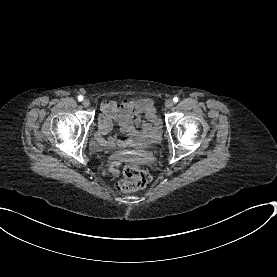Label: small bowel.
<instances>
[{
    "label": "small bowel",
    "mask_w": 277,
    "mask_h": 277,
    "mask_svg": "<svg viewBox=\"0 0 277 277\" xmlns=\"http://www.w3.org/2000/svg\"><path fill=\"white\" fill-rule=\"evenodd\" d=\"M102 109L105 115L99 116V129L96 133L100 146L117 148L120 145V141L114 137L104 138L115 124L129 136L151 140L159 138L161 121L150 98L125 101L123 104L107 101L102 104Z\"/></svg>",
    "instance_id": "obj_1"
}]
</instances>
